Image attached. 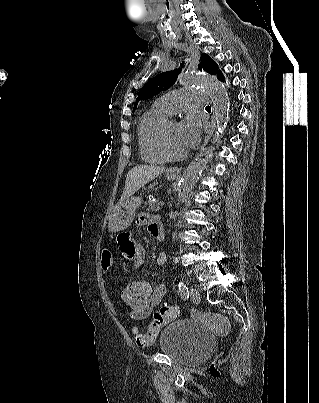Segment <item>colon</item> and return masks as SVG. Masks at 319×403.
Listing matches in <instances>:
<instances>
[{
    "label": "colon",
    "instance_id": "1",
    "mask_svg": "<svg viewBox=\"0 0 319 403\" xmlns=\"http://www.w3.org/2000/svg\"><path fill=\"white\" fill-rule=\"evenodd\" d=\"M120 265L125 267L127 262H120ZM150 291L151 282H142L141 278L134 277L133 282H126L123 288V303L124 307L127 308H121L119 315L121 317H128L130 313H148L149 300L151 299ZM181 315L182 310L179 306H163L154 313L152 322L145 333L137 332L138 326L134 322L131 323L129 326V331L132 333L131 339L138 346L148 347L166 324L178 319Z\"/></svg>",
    "mask_w": 319,
    "mask_h": 403
}]
</instances>
